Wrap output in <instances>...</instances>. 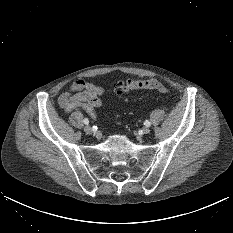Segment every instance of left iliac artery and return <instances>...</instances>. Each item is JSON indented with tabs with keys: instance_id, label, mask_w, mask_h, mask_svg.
<instances>
[{
	"instance_id": "44dca946",
	"label": "left iliac artery",
	"mask_w": 233,
	"mask_h": 233,
	"mask_svg": "<svg viewBox=\"0 0 233 233\" xmlns=\"http://www.w3.org/2000/svg\"><path fill=\"white\" fill-rule=\"evenodd\" d=\"M144 125L147 126V127H149V126L151 125V123H150L149 121L146 120V121L144 122Z\"/></svg>"
}]
</instances>
